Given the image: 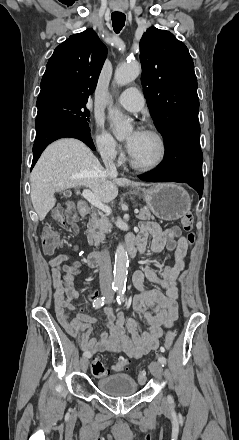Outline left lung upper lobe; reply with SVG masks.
Masks as SVG:
<instances>
[{"label":"left lung upper lobe","instance_id":"obj_1","mask_svg":"<svg viewBox=\"0 0 239 440\" xmlns=\"http://www.w3.org/2000/svg\"><path fill=\"white\" fill-rule=\"evenodd\" d=\"M140 61L147 105L162 136L180 124L199 123L197 78L184 43L151 27L140 41Z\"/></svg>","mask_w":239,"mask_h":440}]
</instances>
